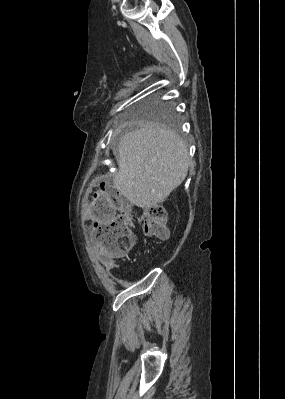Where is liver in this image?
<instances>
[{"label": "liver", "instance_id": "6515ba94", "mask_svg": "<svg viewBox=\"0 0 285 399\" xmlns=\"http://www.w3.org/2000/svg\"><path fill=\"white\" fill-rule=\"evenodd\" d=\"M116 159L115 188L141 208L162 203L184 181L190 163L188 148L178 135L154 123L126 132Z\"/></svg>", "mask_w": 285, "mask_h": 399}]
</instances>
